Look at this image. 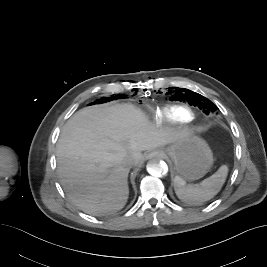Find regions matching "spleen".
<instances>
[{"mask_svg":"<svg viewBox=\"0 0 267 267\" xmlns=\"http://www.w3.org/2000/svg\"><path fill=\"white\" fill-rule=\"evenodd\" d=\"M228 174V167L222 165L212 176L198 185L186 184L180 176L174 178V189L179 199L185 202L201 203L213 198L222 188Z\"/></svg>","mask_w":267,"mask_h":267,"instance_id":"1","label":"spleen"}]
</instances>
